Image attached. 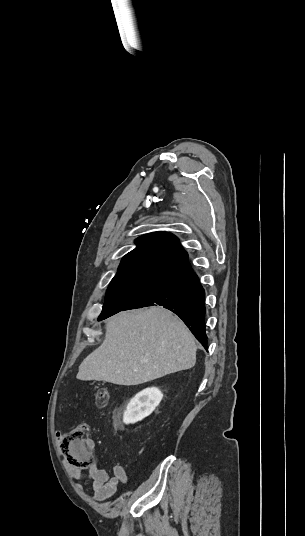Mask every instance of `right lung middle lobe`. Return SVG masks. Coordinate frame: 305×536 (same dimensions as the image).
Segmentation results:
<instances>
[{
	"instance_id": "right-lung-middle-lobe-1",
	"label": "right lung middle lobe",
	"mask_w": 305,
	"mask_h": 536,
	"mask_svg": "<svg viewBox=\"0 0 305 536\" xmlns=\"http://www.w3.org/2000/svg\"><path fill=\"white\" fill-rule=\"evenodd\" d=\"M165 277L161 276H120L114 277L108 286L105 304L98 320L123 310L145 293L150 291Z\"/></svg>"
}]
</instances>
